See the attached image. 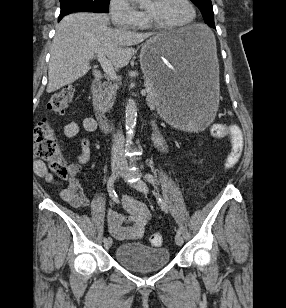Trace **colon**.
<instances>
[{"label": "colon", "mask_w": 286, "mask_h": 308, "mask_svg": "<svg viewBox=\"0 0 286 308\" xmlns=\"http://www.w3.org/2000/svg\"><path fill=\"white\" fill-rule=\"evenodd\" d=\"M75 95L73 86H66L58 90L48 101L47 109L50 112L61 113L71 104ZM212 133L217 138L230 135V128L226 124H214ZM34 146L38 157L46 161L51 172L61 179H67L70 175L67 163L61 156L53 131L46 120H42L34 129ZM243 152L242 139L231 140V151L226 159L225 167L230 169L237 165ZM152 246H161L163 237L154 233L149 237Z\"/></svg>", "instance_id": "obj_1"}]
</instances>
